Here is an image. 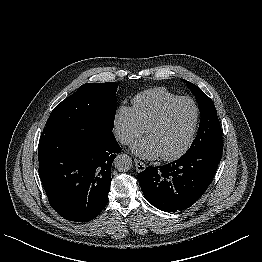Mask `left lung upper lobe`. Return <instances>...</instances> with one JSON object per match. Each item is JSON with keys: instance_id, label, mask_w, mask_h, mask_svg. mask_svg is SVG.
Masks as SVG:
<instances>
[{"instance_id": "left-lung-upper-lobe-1", "label": "left lung upper lobe", "mask_w": 262, "mask_h": 262, "mask_svg": "<svg viewBox=\"0 0 262 262\" xmlns=\"http://www.w3.org/2000/svg\"><path fill=\"white\" fill-rule=\"evenodd\" d=\"M185 82L195 96L201 113L198 133L188 152L206 148H222L221 127L213 101L199 87L188 81Z\"/></svg>"}]
</instances>
